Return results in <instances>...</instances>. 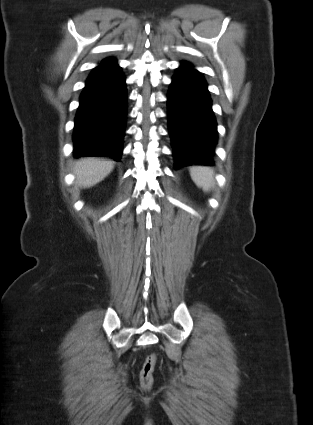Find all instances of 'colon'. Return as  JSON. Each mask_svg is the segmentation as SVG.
<instances>
[{
	"mask_svg": "<svg viewBox=\"0 0 313 425\" xmlns=\"http://www.w3.org/2000/svg\"><path fill=\"white\" fill-rule=\"evenodd\" d=\"M156 363L157 357L155 354L149 355L143 363L140 371V384L145 390H149L152 387Z\"/></svg>",
	"mask_w": 313,
	"mask_h": 425,
	"instance_id": "colon-1",
	"label": "colon"
}]
</instances>
